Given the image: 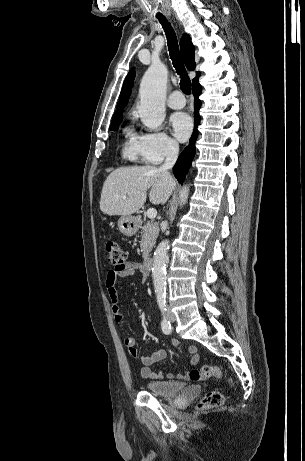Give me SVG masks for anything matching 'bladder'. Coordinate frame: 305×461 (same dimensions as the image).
Returning a JSON list of instances; mask_svg holds the SVG:
<instances>
[{
    "mask_svg": "<svg viewBox=\"0 0 305 461\" xmlns=\"http://www.w3.org/2000/svg\"><path fill=\"white\" fill-rule=\"evenodd\" d=\"M186 387V383L181 381L152 380L145 383V388L149 393L162 397L176 396Z\"/></svg>",
    "mask_w": 305,
    "mask_h": 461,
    "instance_id": "1",
    "label": "bladder"
}]
</instances>
